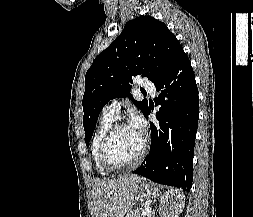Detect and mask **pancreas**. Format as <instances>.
I'll use <instances>...</instances> for the list:
<instances>
[{
    "label": "pancreas",
    "mask_w": 253,
    "mask_h": 217,
    "mask_svg": "<svg viewBox=\"0 0 253 217\" xmlns=\"http://www.w3.org/2000/svg\"><path fill=\"white\" fill-rule=\"evenodd\" d=\"M142 209H136V210H133V211H131V212H129L128 213V216L127 217H144L143 215H142ZM147 217H151V215L150 214H148L147 215Z\"/></svg>",
    "instance_id": "pancreas-1"
}]
</instances>
